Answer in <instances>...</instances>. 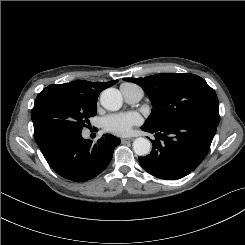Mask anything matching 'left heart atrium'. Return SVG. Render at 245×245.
<instances>
[{"label": "left heart atrium", "instance_id": "39dd6f15", "mask_svg": "<svg viewBox=\"0 0 245 245\" xmlns=\"http://www.w3.org/2000/svg\"><path fill=\"white\" fill-rule=\"evenodd\" d=\"M140 122L141 118L136 113H116L104 117L102 127L106 132L117 136H125L130 133L133 126Z\"/></svg>", "mask_w": 245, "mask_h": 245}]
</instances>
